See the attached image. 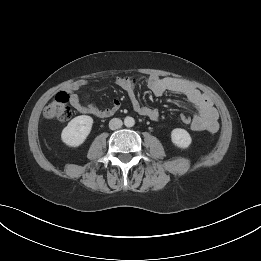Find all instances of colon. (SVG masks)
<instances>
[{"label":"colon","instance_id":"obj_1","mask_svg":"<svg viewBox=\"0 0 261 261\" xmlns=\"http://www.w3.org/2000/svg\"><path fill=\"white\" fill-rule=\"evenodd\" d=\"M69 95L66 92L58 93L54 100L44 109V117L51 120L67 121L72 115L69 107ZM181 121L184 124H191L192 118L188 115H182Z\"/></svg>","mask_w":261,"mask_h":261}]
</instances>
